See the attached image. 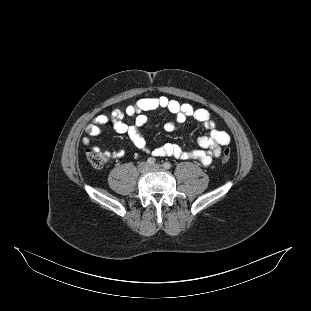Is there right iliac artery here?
Masks as SVG:
<instances>
[{
  "mask_svg": "<svg viewBox=\"0 0 311 311\" xmlns=\"http://www.w3.org/2000/svg\"><path fill=\"white\" fill-rule=\"evenodd\" d=\"M147 163L149 165H154L155 164V159L154 158H148Z\"/></svg>",
  "mask_w": 311,
  "mask_h": 311,
  "instance_id": "right-iliac-artery-1",
  "label": "right iliac artery"
}]
</instances>
